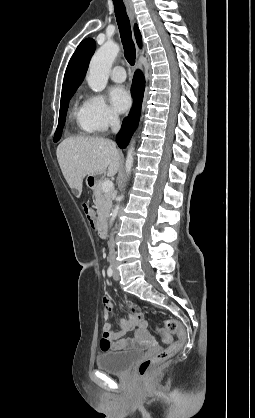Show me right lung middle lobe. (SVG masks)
Masks as SVG:
<instances>
[{
	"label": "right lung middle lobe",
	"mask_w": 255,
	"mask_h": 418,
	"mask_svg": "<svg viewBox=\"0 0 255 418\" xmlns=\"http://www.w3.org/2000/svg\"><path fill=\"white\" fill-rule=\"evenodd\" d=\"M76 90H70L61 94L60 112H59V123L55 132L54 142L59 141L61 138L62 130L65 124L66 113L69 105V100L73 96Z\"/></svg>",
	"instance_id": "obj_1"
}]
</instances>
